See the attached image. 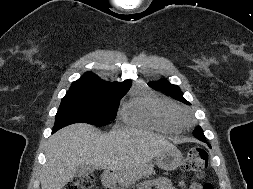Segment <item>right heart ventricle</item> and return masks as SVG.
Masks as SVG:
<instances>
[{
  "instance_id": "e07e8e85",
  "label": "right heart ventricle",
  "mask_w": 253,
  "mask_h": 189,
  "mask_svg": "<svg viewBox=\"0 0 253 189\" xmlns=\"http://www.w3.org/2000/svg\"><path fill=\"white\" fill-rule=\"evenodd\" d=\"M177 109L168 100L138 92L123 105L122 118L130 127L176 134L180 131L173 116Z\"/></svg>"
}]
</instances>
